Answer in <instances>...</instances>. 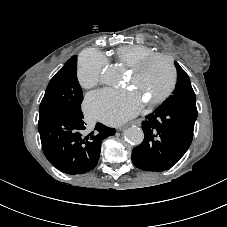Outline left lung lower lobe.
<instances>
[{
    "label": "left lung lower lobe",
    "instance_id": "1",
    "mask_svg": "<svg viewBox=\"0 0 227 227\" xmlns=\"http://www.w3.org/2000/svg\"><path fill=\"white\" fill-rule=\"evenodd\" d=\"M197 108L181 104L159 107L142 122L144 141L132 151L133 164L145 171H164L188 150Z\"/></svg>",
    "mask_w": 227,
    "mask_h": 227
}]
</instances>
